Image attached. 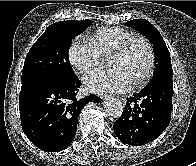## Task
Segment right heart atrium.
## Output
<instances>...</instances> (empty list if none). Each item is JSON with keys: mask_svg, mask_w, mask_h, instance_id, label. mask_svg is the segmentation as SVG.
Segmentation results:
<instances>
[{"mask_svg": "<svg viewBox=\"0 0 196 166\" xmlns=\"http://www.w3.org/2000/svg\"><path fill=\"white\" fill-rule=\"evenodd\" d=\"M68 58L72 67L82 74L97 68L102 61V55L95 44L82 36L72 40L68 49Z\"/></svg>", "mask_w": 196, "mask_h": 166, "instance_id": "1", "label": "right heart atrium"}]
</instances>
